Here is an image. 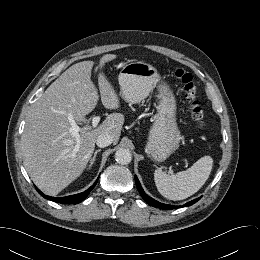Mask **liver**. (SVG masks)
Returning <instances> with one entry per match:
<instances>
[{
  "instance_id": "obj_1",
  "label": "liver",
  "mask_w": 260,
  "mask_h": 260,
  "mask_svg": "<svg viewBox=\"0 0 260 260\" xmlns=\"http://www.w3.org/2000/svg\"><path fill=\"white\" fill-rule=\"evenodd\" d=\"M106 54L99 61L116 59ZM93 61H82L59 76L32 106L21 137L25 168L35 185L44 193L57 195L77 179L86 168L100 134L108 133L117 143L124 115L112 113L95 129L84 125L79 136L71 132V119L87 124L86 116L99 100L98 90L91 81ZM100 99L106 109H118L120 101L104 73L98 75Z\"/></svg>"
}]
</instances>
